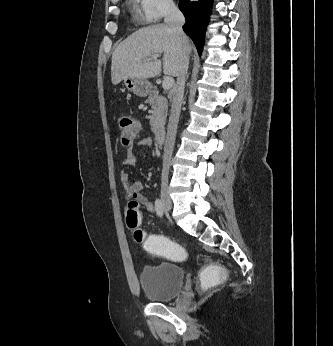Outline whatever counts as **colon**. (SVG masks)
<instances>
[{"label":"colon","mask_w":333,"mask_h":346,"mask_svg":"<svg viewBox=\"0 0 333 346\" xmlns=\"http://www.w3.org/2000/svg\"><path fill=\"white\" fill-rule=\"evenodd\" d=\"M139 133L138 122L129 115H124L119 120V135L124 146L131 145ZM125 221L133 230V237L138 243H142L148 256H164L165 260H185L184 244L174 243V236L167 233H155L146 235L140 228V211L136 201L131 200L126 207ZM214 264H206V269H201V282L204 288H215L216 283H223L228 276V269H223L219 257L213 258ZM203 292L206 290L203 289Z\"/></svg>","instance_id":"5ec220e1"}]
</instances>
